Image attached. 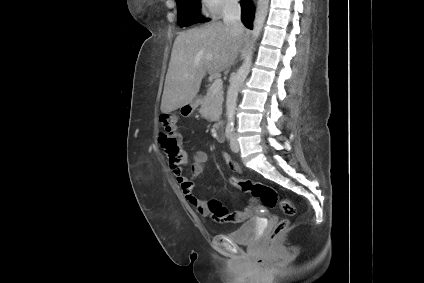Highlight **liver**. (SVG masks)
Here are the masks:
<instances>
[{
  "mask_svg": "<svg viewBox=\"0 0 424 283\" xmlns=\"http://www.w3.org/2000/svg\"><path fill=\"white\" fill-rule=\"evenodd\" d=\"M220 21L179 33L174 41L161 101V112L170 113L194 101L206 73L229 69L243 44Z\"/></svg>",
  "mask_w": 424,
  "mask_h": 283,
  "instance_id": "liver-1",
  "label": "liver"
}]
</instances>
